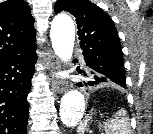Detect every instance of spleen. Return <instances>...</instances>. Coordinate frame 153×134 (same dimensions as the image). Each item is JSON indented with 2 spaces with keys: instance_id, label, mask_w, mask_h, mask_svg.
I'll return each instance as SVG.
<instances>
[{
  "instance_id": "1",
  "label": "spleen",
  "mask_w": 153,
  "mask_h": 134,
  "mask_svg": "<svg viewBox=\"0 0 153 134\" xmlns=\"http://www.w3.org/2000/svg\"><path fill=\"white\" fill-rule=\"evenodd\" d=\"M87 126V120L83 121L77 128L78 134H84ZM105 134H132L127 111L124 108L119 109L112 118L103 123Z\"/></svg>"
}]
</instances>
